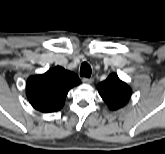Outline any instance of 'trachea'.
Returning <instances> with one entry per match:
<instances>
[{
    "instance_id": "trachea-1",
    "label": "trachea",
    "mask_w": 165,
    "mask_h": 154,
    "mask_svg": "<svg viewBox=\"0 0 165 154\" xmlns=\"http://www.w3.org/2000/svg\"><path fill=\"white\" fill-rule=\"evenodd\" d=\"M92 73L91 67L88 63L83 62L80 68V76L90 78Z\"/></svg>"
}]
</instances>
